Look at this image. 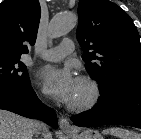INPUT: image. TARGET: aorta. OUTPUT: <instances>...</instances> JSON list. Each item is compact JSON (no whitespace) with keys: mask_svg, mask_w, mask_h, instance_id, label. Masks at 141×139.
<instances>
[{"mask_svg":"<svg viewBox=\"0 0 141 139\" xmlns=\"http://www.w3.org/2000/svg\"><path fill=\"white\" fill-rule=\"evenodd\" d=\"M76 24V17L72 14H57L51 20L48 36L58 38L69 33Z\"/></svg>","mask_w":141,"mask_h":139,"instance_id":"762f6f07","label":"aorta"}]
</instances>
